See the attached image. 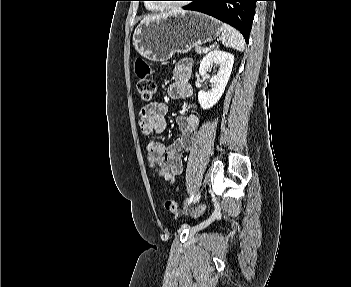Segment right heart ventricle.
<instances>
[{
  "mask_svg": "<svg viewBox=\"0 0 351 287\" xmlns=\"http://www.w3.org/2000/svg\"><path fill=\"white\" fill-rule=\"evenodd\" d=\"M148 9L149 10H152V11H160V8L159 7H156L155 5H152V4H148Z\"/></svg>",
  "mask_w": 351,
  "mask_h": 287,
  "instance_id": "right-heart-ventricle-1",
  "label": "right heart ventricle"
}]
</instances>
